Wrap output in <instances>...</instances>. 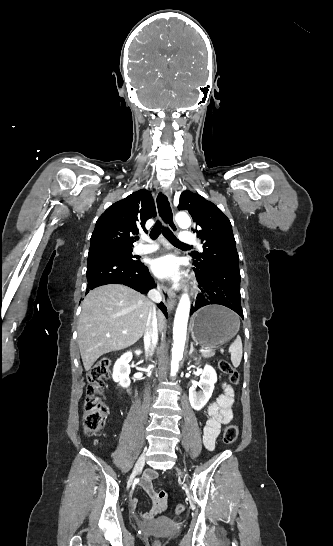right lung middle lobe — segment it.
I'll list each match as a JSON object with an SVG mask.
<instances>
[{"mask_svg":"<svg viewBox=\"0 0 333 546\" xmlns=\"http://www.w3.org/2000/svg\"><path fill=\"white\" fill-rule=\"evenodd\" d=\"M97 251H102L110 254L117 255L128 261H136V256L132 255V247H107Z\"/></svg>","mask_w":333,"mask_h":546,"instance_id":"obj_1","label":"right lung middle lobe"}]
</instances>
